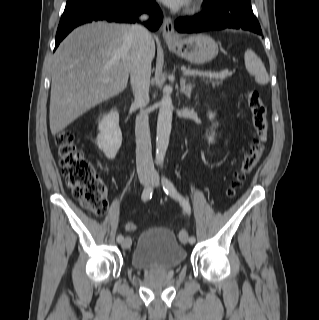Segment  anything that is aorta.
I'll return each instance as SVG.
<instances>
[{"mask_svg":"<svg viewBox=\"0 0 319 320\" xmlns=\"http://www.w3.org/2000/svg\"><path fill=\"white\" fill-rule=\"evenodd\" d=\"M173 104L171 90L166 88L159 102V114L157 120L156 155L157 164H162L169 144L172 125Z\"/></svg>","mask_w":319,"mask_h":320,"instance_id":"1","label":"aorta"}]
</instances>
